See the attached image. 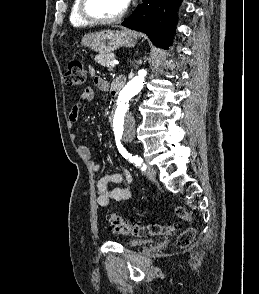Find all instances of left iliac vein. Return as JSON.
I'll use <instances>...</instances> for the list:
<instances>
[{"label": "left iliac vein", "instance_id": "left-iliac-vein-1", "mask_svg": "<svg viewBox=\"0 0 259 294\" xmlns=\"http://www.w3.org/2000/svg\"><path fill=\"white\" fill-rule=\"evenodd\" d=\"M145 175L150 179V180H154L155 176H156V170L154 168V166L147 164L146 165V171H145Z\"/></svg>", "mask_w": 259, "mask_h": 294}]
</instances>
